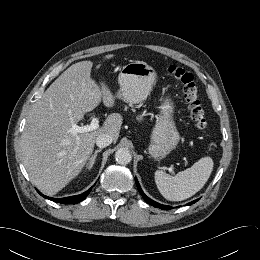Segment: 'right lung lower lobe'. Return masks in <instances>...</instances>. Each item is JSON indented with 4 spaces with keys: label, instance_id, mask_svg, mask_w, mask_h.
<instances>
[{
    "label": "right lung lower lobe",
    "instance_id": "right-lung-lower-lobe-1",
    "mask_svg": "<svg viewBox=\"0 0 260 260\" xmlns=\"http://www.w3.org/2000/svg\"><path fill=\"white\" fill-rule=\"evenodd\" d=\"M90 190H91V188L80 195L65 197V198H51V197H47V196L41 194L38 190L37 191L43 197L48 198L49 200H52L54 202H58V203H62V204H76V203H79L80 201L84 200L87 197V195L89 194Z\"/></svg>",
    "mask_w": 260,
    "mask_h": 260
}]
</instances>
